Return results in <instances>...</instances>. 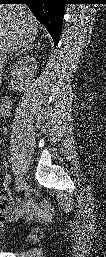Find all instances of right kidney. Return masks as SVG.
Returning <instances> with one entry per match:
<instances>
[{"label": "right kidney", "mask_w": 106, "mask_h": 257, "mask_svg": "<svg viewBox=\"0 0 106 257\" xmlns=\"http://www.w3.org/2000/svg\"><path fill=\"white\" fill-rule=\"evenodd\" d=\"M37 69V63L35 58L33 57H25L18 61L16 64L12 67V75L16 78V89L18 90H24V86L29 84L31 80L33 79L34 73ZM6 98V100H5ZM2 102L4 104L2 105V108H9L10 101L7 97H5ZM4 110V109H3Z\"/></svg>", "instance_id": "right-kidney-1"}]
</instances>
